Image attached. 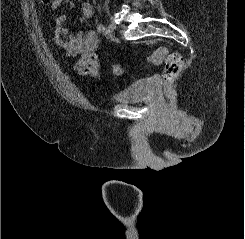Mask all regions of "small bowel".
Wrapping results in <instances>:
<instances>
[{"label": "small bowel", "mask_w": 245, "mask_h": 239, "mask_svg": "<svg viewBox=\"0 0 245 239\" xmlns=\"http://www.w3.org/2000/svg\"><path fill=\"white\" fill-rule=\"evenodd\" d=\"M63 0H52L51 8L56 11ZM80 13L84 19H91L94 14L93 6L89 2L80 5ZM66 17L59 15L54 20V34L56 44L65 51L68 57H79L74 67L77 74L92 79L101 77L99 58L96 54L98 36L94 30H86L77 34H69L65 28Z\"/></svg>", "instance_id": "obj_1"}]
</instances>
